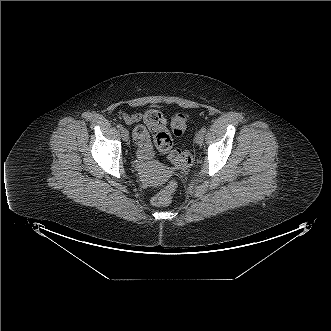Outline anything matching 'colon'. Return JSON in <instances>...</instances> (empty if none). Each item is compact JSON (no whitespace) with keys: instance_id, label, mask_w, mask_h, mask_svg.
Listing matches in <instances>:
<instances>
[{"instance_id":"colon-1","label":"colon","mask_w":331,"mask_h":331,"mask_svg":"<svg viewBox=\"0 0 331 331\" xmlns=\"http://www.w3.org/2000/svg\"><path fill=\"white\" fill-rule=\"evenodd\" d=\"M145 126L140 125L135 128V133L140 138H145L149 129L154 138L156 148L163 152L169 153L170 160L179 167H187L192 163V156L186 150L173 149V139L166 128L165 118L156 109H149L142 115ZM188 117L184 113H177L171 118V130L173 135L180 136L187 128ZM174 191V184L169 183L153 198L152 204L155 206H165L171 202Z\"/></svg>"}]
</instances>
